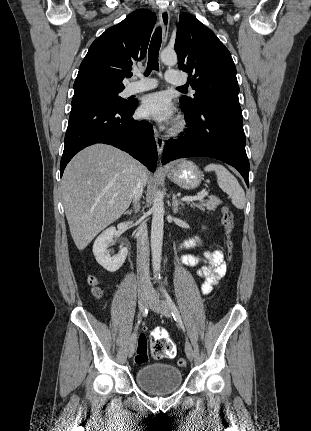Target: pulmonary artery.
I'll return each mask as SVG.
<instances>
[{"label":"pulmonary artery","mask_w":311,"mask_h":431,"mask_svg":"<svg viewBox=\"0 0 311 431\" xmlns=\"http://www.w3.org/2000/svg\"><path fill=\"white\" fill-rule=\"evenodd\" d=\"M174 73H175V70H170L166 72L164 76L165 80L168 83L174 84V85L183 84L184 81L174 77L173 75ZM157 85H158V82L156 79L140 76L137 81L128 84V86L125 89V94L134 95V94L142 93L157 87ZM192 92H194V90H192Z\"/></svg>","instance_id":"pulmonary-artery-1"}]
</instances>
